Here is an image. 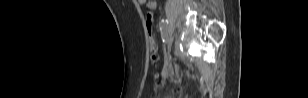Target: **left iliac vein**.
Here are the masks:
<instances>
[{
    "instance_id": "left-iliac-vein-1",
    "label": "left iliac vein",
    "mask_w": 308,
    "mask_h": 98,
    "mask_svg": "<svg viewBox=\"0 0 308 98\" xmlns=\"http://www.w3.org/2000/svg\"><path fill=\"white\" fill-rule=\"evenodd\" d=\"M173 44V36L172 35H169L168 39H167V48H168V51L171 49V46Z\"/></svg>"
}]
</instances>
